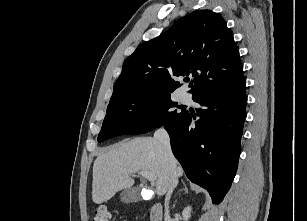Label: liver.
I'll return each instance as SVG.
<instances>
[{"label": "liver", "mask_w": 307, "mask_h": 221, "mask_svg": "<svg viewBox=\"0 0 307 221\" xmlns=\"http://www.w3.org/2000/svg\"><path fill=\"white\" fill-rule=\"evenodd\" d=\"M177 178L183 170L174 158ZM148 171L156 176L155 192L163 196L169 186L170 159L164 146L155 138L139 137L100 153L93 165L92 199L96 204L110 200L118 191L131 188L132 174Z\"/></svg>", "instance_id": "obj_1"}]
</instances>
